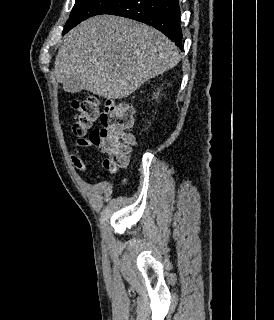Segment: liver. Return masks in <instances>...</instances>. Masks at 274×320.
Returning a JSON list of instances; mask_svg holds the SVG:
<instances>
[{
	"label": "liver",
	"instance_id": "1",
	"mask_svg": "<svg viewBox=\"0 0 274 320\" xmlns=\"http://www.w3.org/2000/svg\"><path fill=\"white\" fill-rule=\"evenodd\" d=\"M180 58L175 44L146 24L95 16L64 36L54 74L65 92L87 90L120 100L177 66Z\"/></svg>",
	"mask_w": 274,
	"mask_h": 320
}]
</instances>
